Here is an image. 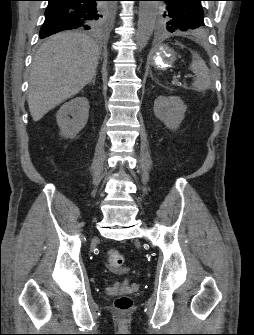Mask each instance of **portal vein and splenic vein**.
<instances>
[{"mask_svg": "<svg viewBox=\"0 0 254 335\" xmlns=\"http://www.w3.org/2000/svg\"><path fill=\"white\" fill-rule=\"evenodd\" d=\"M186 78H193L194 76L191 74H188L187 76H185Z\"/></svg>", "mask_w": 254, "mask_h": 335, "instance_id": "portal-vein-and-splenic-vein-1", "label": "portal vein and splenic vein"}]
</instances>
